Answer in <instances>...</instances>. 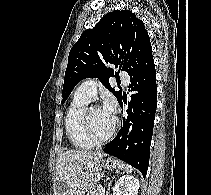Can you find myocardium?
<instances>
[{"instance_id": "1", "label": "myocardium", "mask_w": 211, "mask_h": 195, "mask_svg": "<svg viewBox=\"0 0 211 195\" xmlns=\"http://www.w3.org/2000/svg\"><path fill=\"white\" fill-rule=\"evenodd\" d=\"M97 107V106H96ZM94 108V107H87L85 108L84 112H83V117H82V123H83V131L84 134L87 138V140L93 144L94 146H99L102 144L107 143L116 133L118 127H119V121L118 119L114 118V125L112 127V129L110 130V132L103 138H96L93 135L92 132V128H91V120H90V110ZM99 108V107H97Z\"/></svg>"}]
</instances>
